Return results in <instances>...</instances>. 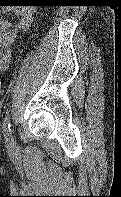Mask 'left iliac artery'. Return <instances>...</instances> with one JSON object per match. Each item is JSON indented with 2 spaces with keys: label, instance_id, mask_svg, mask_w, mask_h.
I'll return each mask as SVG.
<instances>
[{
  "label": "left iliac artery",
  "instance_id": "1",
  "mask_svg": "<svg viewBox=\"0 0 121 197\" xmlns=\"http://www.w3.org/2000/svg\"><path fill=\"white\" fill-rule=\"evenodd\" d=\"M3 133H4V137H5L6 142H8L9 144H14V141L12 139V133H11V118L9 115H7L4 118Z\"/></svg>",
  "mask_w": 121,
  "mask_h": 197
}]
</instances>
